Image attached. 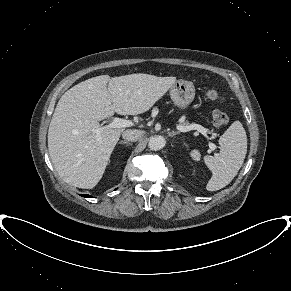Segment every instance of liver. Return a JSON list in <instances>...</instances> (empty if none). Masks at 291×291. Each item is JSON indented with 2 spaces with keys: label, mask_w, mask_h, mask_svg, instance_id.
<instances>
[{
  "label": "liver",
  "mask_w": 291,
  "mask_h": 291,
  "mask_svg": "<svg viewBox=\"0 0 291 291\" xmlns=\"http://www.w3.org/2000/svg\"><path fill=\"white\" fill-rule=\"evenodd\" d=\"M175 82L176 77L142 73L101 75L66 91L48 129L49 154L61 179L83 189L95 187L124 131L105 129L99 121L115 112L138 115L148 111Z\"/></svg>",
  "instance_id": "obj_1"
}]
</instances>
